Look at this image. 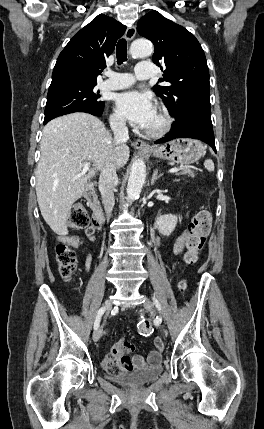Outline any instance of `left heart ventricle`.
Listing matches in <instances>:
<instances>
[{
    "instance_id": "obj_1",
    "label": "left heart ventricle",
    "mask_w": 264,
    "mask_h": 429,
    "mask_svg": "<svg viewBox=\"0 0 264 429\" xmlns=\"http://www.w3.org/2000/svg\"><path fill=\"white\" fill-rule=\"evenodd\" d=\"M160 123H161V120H160L158 114L156 113L154 115V117L152 118V120L149 122V124L146 126V128H148V129L157 128L160 125Z\"/></svg>"
}]
</instances>
